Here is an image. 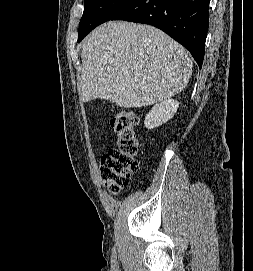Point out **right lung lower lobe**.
Returning <instances> with one entry per match:
<instances>
[{
    "label": "right lung lower lobe",
    "mask_w": 253,
    "mask_h": 271,
    "mask_svg": "<svg viewBox=\"0 0 253 271\" xmlns=\"http://www.w3.org/2000/svg\"><path fill=\"white\" fill-rule=\"evenodd\" d=\"M209 0H130L111 20L153 25L188 49L202 67Z\"/></svg>",
    "instance_id": "98d812e1"
}]
</instances>
